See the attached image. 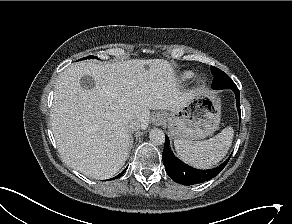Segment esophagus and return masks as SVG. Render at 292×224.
I'll list each match as a JSON object with an SVG mask.
<instances>
[{
    "label": "esophagus",
    "instance_id": "34e87169",
    "mask_svg": "<svg viewBox=\"0 0 292 224\" xmlns=\"http://www.w3.org/2000/svg\"><path fill=\"white\" fill-rule=\"evenodd\" d=\"M164 121H165V117L163 116V114L157 113L154 116V125H156V126L162 125L164 123Z\"/></svg>",
    "mask_w": 292,
    "mask_h": 224
}]
</instances>
